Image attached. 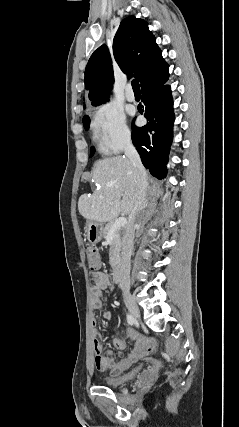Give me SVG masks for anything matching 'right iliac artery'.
I'll return each mask as SVG.
<instances>
[{"label": "right iliac artery", "instance_id": "right-iliac-artery-1", "mask_svg": "<svg viewBox=\"0 0 239 427\" xmlns=\"http://www.w3.org/2000/svg\"><path fill=\"white\" fill-rule=\"evenodd\" d=\"M127 322H128L130 325H133V323L135 322L134 317H133L132 315L128 314V315H127Z\"/></svg>", "mask_w": 239, "mask_h": 427}]
</instances>
